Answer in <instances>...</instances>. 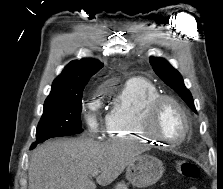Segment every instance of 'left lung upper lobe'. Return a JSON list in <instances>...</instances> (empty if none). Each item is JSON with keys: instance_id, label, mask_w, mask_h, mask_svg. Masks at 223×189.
Returning <instances> with one entry per match:
<instances>
[{"instance_id": "left-lung-upper-lobe-1", "label": "left lung upper lobe", "mask_w": 223, "mask_h": 189, "mask_svg": "<svg viewBox=\"0 0 223 189\" xmlns=\"http://www.w3.org/2000/svg\"><path fill=\"white\" fill-rule=\"evenodd\" d=\"M150 64L160 79L169 87H171L175 92H177L178 95L188 104V106L194 112H196L192 95L185 87L180 73L163 58L151 57Z\"/></svg>"}]
</instances>
